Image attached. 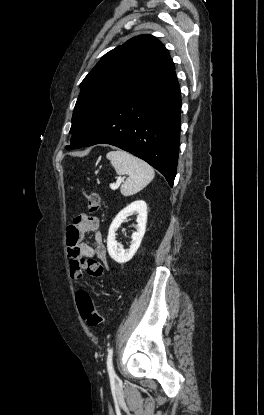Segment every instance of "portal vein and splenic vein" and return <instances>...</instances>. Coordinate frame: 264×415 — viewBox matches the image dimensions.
<instances>
[{"mask_svg":"<svg viewBox=\"0 0 264 415\" xmlns=\"http://www.w3.org/2000/svg\"><path fill=\"white\" fill-rule=\"evenodd\" d=\"M123 181H124V178H119L116 183L110 184V188L113 190L117 189L120 186L121 182Z\"/></svg>","mask_w":264,"mask_h":415,"instance_id":"1","label":"portal vein and splenic vein"}]
</instances>
